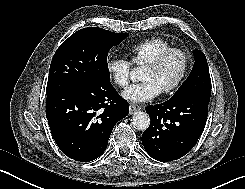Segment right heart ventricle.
<instances>
[{"instance_id": "obj_1", "label": "right heart ventricle", "mask_w": 245, "mask_h": 189, "mask_svg": "<svg viewBox=\"0 0 245 189\" xmlns=\"http://www.w3.org/2000/svg\"><path fill=\"white\" fill-rule=\"evenodd\" d=\"M171 45L160 37H151L133 43L127 48L126 55L131 64L144 66L160 52L170 48Z\"/></svg>"}]
</instances>
